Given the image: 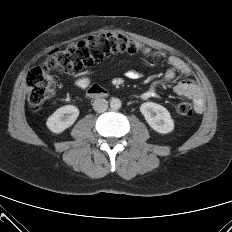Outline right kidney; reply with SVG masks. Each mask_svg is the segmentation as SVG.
<instances>
[{"instance_id":"1","label":"right kidney","mask_w":232,"mask_h":232,"mask_svg":"<svg viewBox=\"0 0 232 232\" xmlns=\"http://www.w3.org/2000/svg\"><path fill=\"white\" fill-rule=\"evenodd\" d=\"M79 116V109L74 105L58 108L48 119L46 125L53 133H61L74 124Z\"/></svg>"}]
</instances>
